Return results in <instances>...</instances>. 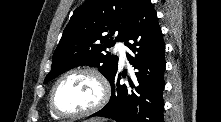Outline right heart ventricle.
<instances>
[{
  "label": "right heart ventricle",
  "mask_w": 221,
  "mask_h": 122,
  "mask_svg": "<svg viewBox=\"0 0 221 122\" xmlns=\"http://www.w3.org/2000/svg\"><path fill=\"white\" fill-rule=\"evenodd\" d=\"M50 112H51V115L54 117V118H58V116L57 115H55L53 112H52V110L50 109Z\"/></svg>",
  "instance_id": "e07e8e85"
}]
</instances>
